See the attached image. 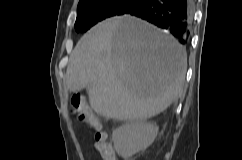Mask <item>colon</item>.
<instances>
[{
	"mask_svg": "<svg viewBox=\"0 0 242 160\" xmlns=\"http://www.w3.org/2000/svg\"><path fill=\"white\" fill-rule=\"evenodd\" d=\"M72 110L76 117L96 130L94 144L102 160H116L112 147L107 142V135L102 131L99 119L94 115L83 96L72 97Z\"/></svg>",
	"mask_w": 242,
	"mask_h": 160,
	"instance_id": "obj_1",
	"label": "colon"
}]
</instances>
